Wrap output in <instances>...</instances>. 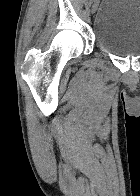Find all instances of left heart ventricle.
<instances>
[{
    "mask_svg": "<svg viewBox=\"0 0 140 196\" xmlns=\"http://www.w3.org/2000/svg\"><path fill=\"white\" fill-rule=\"evenodd\" d=\"M105 192H121V191H105Z\"/></svg>",
    "mask_w": 140,
    "mask_h": 196,
    "instance_id": "left-heart-ventricle-1",
    "label": "left heart ventricle"
}]
</instances>
